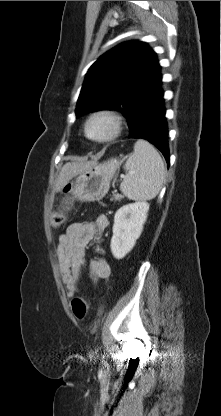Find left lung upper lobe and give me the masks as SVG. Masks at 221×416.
<instances>
[{
    "instance_id": "5c2ea615",
    "label": "left lung upper lobe",
    "mask_w": 221,
    "mask_h": 416,
    "mask_svg": "<svg viewBox=\"0 0 221 416\" xmlns=\"http://www.w3.org/2000/svg\"><path fill=\"white\" fill-rule=\"evenodd\" d=\"M160 65L145 43L129 41L102 55L89 69L76 117L102 109L120 111L132 122L140 101L158 84Z\"/></svg>"
}]
</instances>
